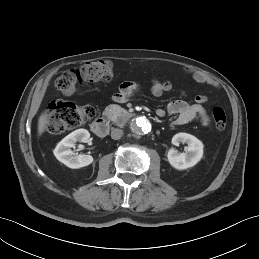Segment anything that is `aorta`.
<instances>
[{
	"instance_id": "762f6f07",
	"label": "aorta",
	"mask_w": 259,
	"mask_h": 259,
	"mask_svg": "<svg viewBox=\"0 0 259 259\" xmlns=\"http://www.w3.org/2000/svg\"><path fill=\"white\" fill-rule=\"evenodd\" d=\"M131 130L137 135L147 134L151 131V124L145 117H138L131 123Z\"/></svg>"
}]
</instances>
